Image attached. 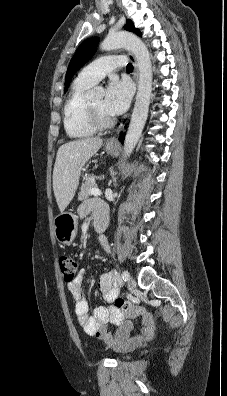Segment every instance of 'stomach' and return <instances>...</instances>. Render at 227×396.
Wrapping results in <instances>:
<instances>
[{
    "label": "stomach",
    "instance_id": "1",
    "mask_svg": "<svg viewBox=\"0 0 227 396\" xmlns=\"http://www.w3.org/2000/svg\"><path fill=\"white\" fill-rule=\"evenodd\" d=\"M105 150L112 155H117L118 153L117 146L109 144H106ZM54 226L55 237L58 242L71 244L77 233L78 222L76 216L70 212H62L55 217Z\"/></svg>",
    "mask_w": 227,
    "mask_h": 396
}]
</instances>
